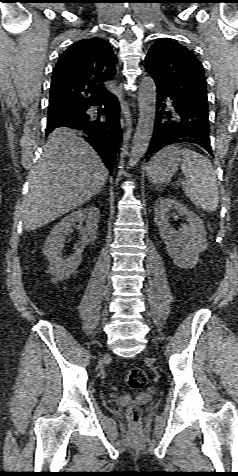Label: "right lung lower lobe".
Returning a JSON list of instances; mask_svg holds the SVG:
<instances>
[{
  "instance_id": "98d812e1",
  "label": "right lung lower lobe",
  "mask_w": 238,
  "mask_h": 476,
  "mask_svg": "<svg viewBox=\"0 0 238 476\" xmlns=\"http://www.w3.org/2000/svg\"><path fill=\"white\" fill-rule=\"evenodd\" d=\"M101 104H104V109L98 110V117L86 113V108L85 113L73 119L57 124H48L46 134L58 127L83 131L87 135L85 140L98 152L105 165L112 171L116 150L122 140L119 105L117 98L111 93L92 105Z\"/></svg>"
}]
</instances>
